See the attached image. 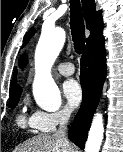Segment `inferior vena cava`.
Masks as SVG:
<instances>
[{"mask_svg": "<svg viewBox=\"0 0 123 152\" xmlns=\"http://www.w3.org/2000/svg\"><path fill=\"white\" fill-rule=\"evenodd\" d=\"M70 118V112L68 110L62 111L59 114V130L55 133L56 136L63 139L65 142H68V138L66 135L67 123Z\"/></svg>", "mask_w": 123, "mask_h": 152, "instance_id": "obj_1", "label": "inferior vena cava"}]
</instances>
